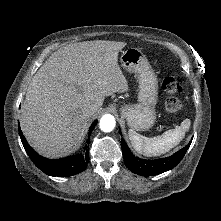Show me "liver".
Here are the masks:
<instances>
[{"mask_svg": "<svg viewBox=\"0 0 221 221\" xmlns=\"http://www.w3.org/2000/svg\"><path fill=\"white\" fill-rule=\"evenodd\" d=\"M125 42L86 41L54 52L32 78L20 118L21 130L41 155L57 158L78 143L89 120L85 105L128 91L118 64Z\"/></svg>", "mask_w": 221, "mask_h": 221, "instance_id": "liver-1", "label": "liver"}]
</instances>
